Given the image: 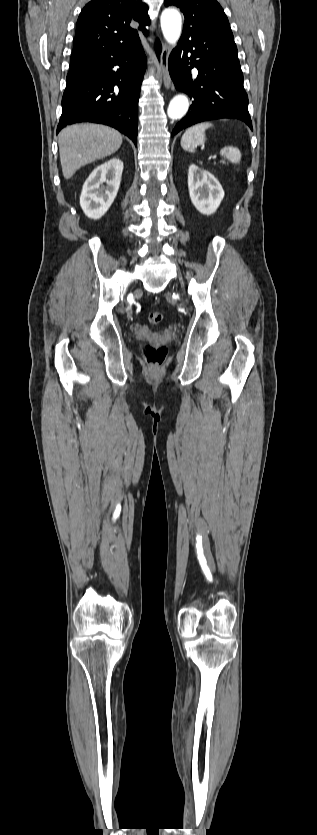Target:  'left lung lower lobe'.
<instances>
[{
  "mask_svg": "<svg viewBox=\"0 0 317 835\" xmlns=\"http://www.w3.org/2000/svg\"><path fill=\"white\" fill-rule=\"evenodd\" d=\"M169 72L176 89L193 99L191 111L177 123L172 136L198 122L220 118L241 120L253 130L234 39L214 31L181 36L169 58Z\"/></svg>",
  "mask_w": 317,
  "mask_h": 835,
  "instance_id": "obj_1",
  "label": "left lung lower lobe"
}]
</instances>
